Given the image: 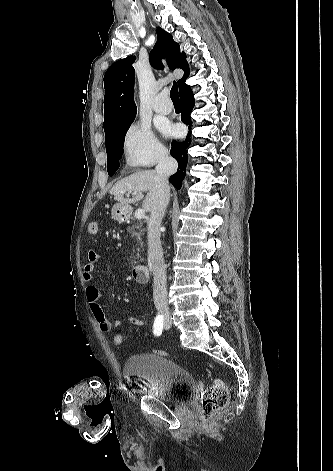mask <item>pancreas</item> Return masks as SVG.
I'll return each mask as SVG.
<instances>
[{
  "label": "pancreas",
  "instance_id": "cf45deb5",
  "mask_svg": "<svg viewBox=\"0 0 333 471\" xmlns=\"http://www.w3.org/2000/svg\"><path fill=\"white\" fill-rule=\"evenodd\" d=\"M127 231L128 233L130 234L131 238L133 240H136V242L138 244H136L137 248L136 250L133 249V253H135V251H137L138 253L136 254V256H133L134 258V261H132L131 263H136L135 260H139L141 259L140 255H139V252L141 250V248L143 247V242H142V236L144 235V228L142 226V223L140 222H137L135 219L133 220V225L132 226H129L127 228Z\"/></svg>",
  "mask_w": 333,
  "mask_h": 471
}]
</instances>
